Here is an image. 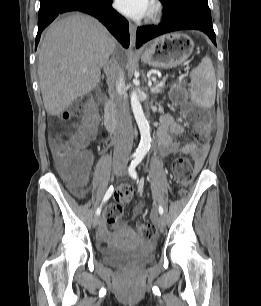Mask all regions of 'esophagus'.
<instances>
[{"mask_svg": "<svg viewBox=\"0 0 261 306\" xmlns=\"http://www.w3.org/2000/svg\"><path fill=\"white\" fill-rule=\"evenodd\" d=\"M129 32H130V47L134 48L136 41V25L129 22Z\"/></svg>", "mask_w": 261, "mask_h": 306, "instance_id": "esophagus-1", "label": "esophagus"}]
</instances>
